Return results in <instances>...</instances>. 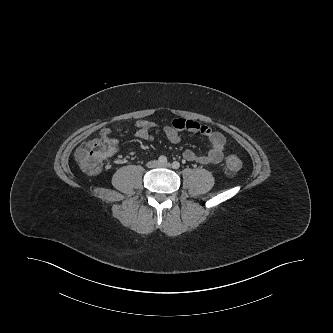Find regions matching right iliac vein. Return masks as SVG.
I'll return each mask as SVG.
<instances>
[{
    "mask_svg": "<svg viewBox=\"0 0 333 333\" xmlns=\"http://www.w3.org/2000/svg\"><path fill=\"white\" fill-rule=\"evenodd\" d=\"M159 165V163L157 162V161H152L151 163H150V166L151 167H157Z\"/></svg>",
    "mask_w": 333,
    "mask_h": 333,
    "instance_id": "1",
    "label": "right iliac vein"
}]
</instances>
